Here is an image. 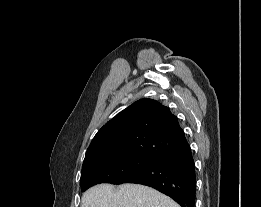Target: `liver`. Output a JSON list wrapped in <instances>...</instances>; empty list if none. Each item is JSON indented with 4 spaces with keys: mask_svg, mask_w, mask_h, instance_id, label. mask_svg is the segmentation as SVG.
<instances>
[{
    "mask_svg": "<svg viewBox=\"0 0 261 207\" xmlns=\"http://www.w3.org/2000/svg\"><path fill=\"white\" fill-rule=\"evenodd\" d=\"M81 207H181L170 197L148 186L111 184L89 188L82 196Z\"/></svg>",
    "mask_w": 261,
    "mask_h": 207,
    "instance_id": "1",
    "label": "liver"
}]
</instances>
